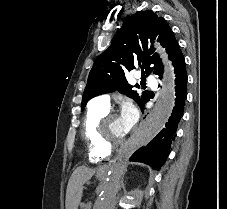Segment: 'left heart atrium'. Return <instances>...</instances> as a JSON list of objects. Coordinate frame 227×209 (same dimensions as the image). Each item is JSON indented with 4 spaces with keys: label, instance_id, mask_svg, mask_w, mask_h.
<instances>
[{
    "label": "left heart atrium",
    "instance_id": "left-heart-atrium-1",
    "mask_svg": "<svg viewBox=\"0 0 227 209\" xmlns=\"http://www.w3.org/2000/svg\"><path fill=\"white\" fill-rule=\"evenodd\" d=\"M119 119L126 130H131L138 120L137 108L131 102L123 103Z\"/></svg>",
    "mask_w": 227,
    "mask_h": 209
}]
</instances>
